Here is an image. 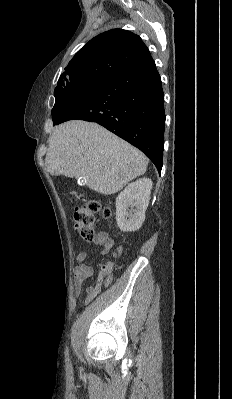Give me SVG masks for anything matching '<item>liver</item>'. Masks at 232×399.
<instances>
[{"mask_svg": "<svg viewBox=\"0 0 232 399\" xmlns=\"http://www.w3.org/2000/svg\"><path fill=\"white\" fill-rule=\"evenodd\" d=\"M148 158L93 122L72 120L55 128L45 158L52 176L85 178L100 194H116L128 182L145 174Z\"/></svg>", "mask_w": 232, "mask_h": 399, "instance_id": "1", "label": "liver"}]
</instances>
